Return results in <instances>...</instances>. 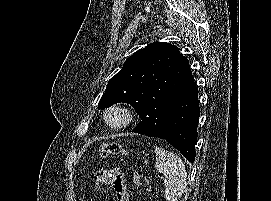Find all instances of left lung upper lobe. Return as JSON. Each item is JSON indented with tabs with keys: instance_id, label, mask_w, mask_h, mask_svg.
I'll return each mask as SVG.
<instances>
[{
	"instance_id": "5c2ea615",
	"label": "left lung upper lobe",
	"mask_w": 271,
	"mask_h": 201,
	"mask_svg": "<svg viewBox=\"0 0 271 201\" xmlns=\"http://www.w3.org/2000/svg\"><path fill=\"white\" fill-rule=\"evenodd\" d=\"M188 59L166 42L138 50L108 82L99 109L119 102L130 104L141 118L146 136L158 137L170 105L181 86Z\"/></svg>"
}]
</instances>
